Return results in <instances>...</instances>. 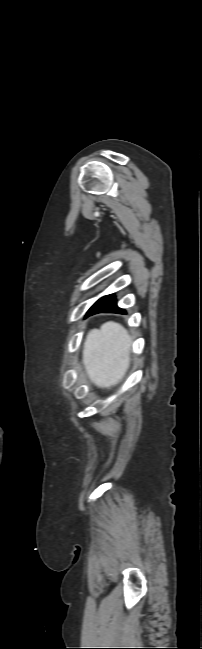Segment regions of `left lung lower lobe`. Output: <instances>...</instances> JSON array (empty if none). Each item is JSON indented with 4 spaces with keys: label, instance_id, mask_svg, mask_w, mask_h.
Returning <instances> with one entry per match:
<instances>
[{
    "label": "left lung lower lobe",
    "instance_id": "0a47b994",
    "mask_svg": "<svg viewBox=\"0 0 202 649\" xmlns=\"http://www.w3.org/2000/svg\"><path fill=\"white\" fill-rule=\"evenodd\" d=\"M121 313L125 314V310L120 309L116 304L115 296L107 295L100 298L87 312L86 316H90L97 313Z\"/></svg>",
    "mask_w": 202,
    "mask_h": 649
}]
</instances>
